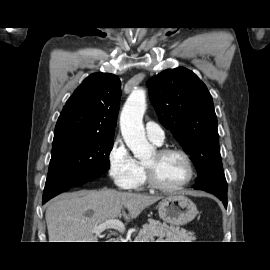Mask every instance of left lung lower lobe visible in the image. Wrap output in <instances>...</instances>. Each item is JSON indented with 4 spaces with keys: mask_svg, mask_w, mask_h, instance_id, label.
<instances>
[{
    "mask_svg": "<svg viewBox=\"0 0 270 270\" xmlns=\"http://www.w3.org/2000/svg\"><path fill=\"white\" fill-rule=\"evenodd\" d=\"M193 188L214 194L222 200L225 208H227V182L224 173H216L207 179L198 182Z\"/></svg>",
    "mask_w": 270,
    "mask_h": 270,
    "instance_id": "1",
    "label": "left lung lower lobe"
}]
</instances>
